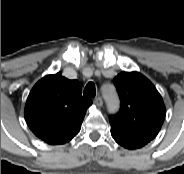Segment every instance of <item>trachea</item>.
<instances>
[{"instance_id":"3493384b","label":"trachea","mask_w":184,"mask_h":174,"mask_svg":"<svg viewBox=\"0 0 184 174\" xmlns=\"http://www.w3.org/2000/svg\"><path fill=\"white\" fill-rule=\"evenodd\" d=\"M83 94L85 96H88V97H95L96 95V88H95V84L93 82H89L84 91H83Z\"/></svg>"}]
</instances>
